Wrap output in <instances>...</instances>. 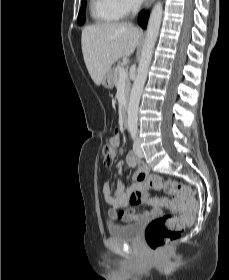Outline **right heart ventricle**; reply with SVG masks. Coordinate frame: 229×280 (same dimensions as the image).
<instances>
[{
	"label": "right heart ventricle",
	"instance_id": "right-heart-ventricle-1",
	"mask_svg": "<svg viewBox=\"0 0 229 280\" xmlns=\"http://www.w3.org/2000/svg\"><path fill=\"white\" fill-rule=\"evenodd\" d=\"M90 13L95 23L108 25L120 19L111 0H90Z\"/></svg>",
	"mask_w": 229,
	"mask_h": 280
}]
</instances>
